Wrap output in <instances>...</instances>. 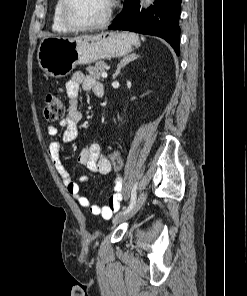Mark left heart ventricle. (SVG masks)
I'll use <instances>...</instances> for the list:
<instances>
[{"mask_svg": "<svg viewBox=\"0 0 247 296\" xmlns=\"http://www.w3.org/2000/svg\"><path fill=\"white\" fill-rule=\"evenodd\" d=\"M71 10L73 19L79 24L89 25L102 21L108 13L109 0H74Z\"/></svg>", "mask_w": 247, "mask_h": 296, "instance_id": "b2bd125f", "label": "left heart ventricle"}]
</instances>
